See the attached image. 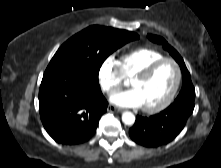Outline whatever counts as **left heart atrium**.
<instances>
[{
	"mask_svg": "<svg viewBox=\"0 0 221 168\" xmlns=\"http://www.w3.org/2000/svg\"><path fill=\"white\" fill-rule=\"evenodd\" d=\"M111 102L121 107H142V99L135 89L116 93L110 98Z\"/></svg>",
	"mask_w": 221,
	"mask_h": 168,
	"instance_id": "39dd6f15",
	"label": "left heart atrium"
}]
</instances>
